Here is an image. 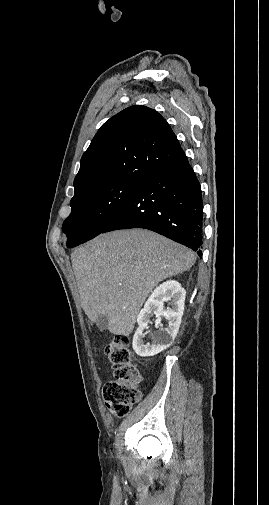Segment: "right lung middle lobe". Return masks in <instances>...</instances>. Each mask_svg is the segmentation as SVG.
<instances>
[{"label":"right lung middle lobe","mask_w":269,"mask_h":505,"mask_svg":"<svg viewBox=\"0 0 269 505\" xmlns=\"http://www.w3.org/2000/svg\"><path fill=\"white\" fill-rule=\"evenodd\" d=\"M140 185L130 182L103 183L74 195L71 214L62 227L67 236V247L78 246L99 235Z\"/></svg>","instance_id":"1"}]
</instances>
